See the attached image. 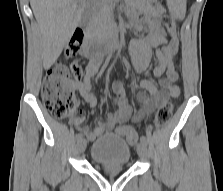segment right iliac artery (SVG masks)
Wrapping results in <instances>:
<instances>
[{
    "label": "right iliac artery",
    "mask_w": 223,
    "mask_h": 191,
    "mask_svg": "<svg viewBox=\"0 0 223 191\" xmlns=\"http://www.w3.org/2000/svg\"><path fill=\"white\" fill-rule=\"evenodd\" d=\"M82 137V134H77L76 139L79 140Z\"/></svg>",
    "instance_id": "right-iliac-artery-1"
}]
</instances>
